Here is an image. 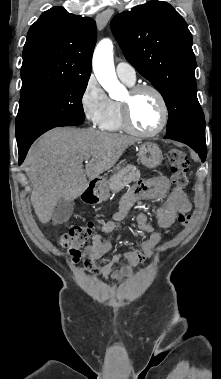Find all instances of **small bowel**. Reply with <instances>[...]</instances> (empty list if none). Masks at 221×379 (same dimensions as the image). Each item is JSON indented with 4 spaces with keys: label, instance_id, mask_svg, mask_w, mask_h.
<instances>
[{
    "label": "small bowel",
    "instance_id": "c3829d8e",
    "mask_svg": "<svg viewBox=\"0 0 221 379\" xmlns=\"http://www.w3.org/2000/svg\"><path fill=\"white\" fill-rule=\"evenodd\" d=\"M164 205L157 211V227L166 229L176 220L178 214L188 213L191 210V201L187 193L176 187L166 176L142 179L122 197L119 210L104 222L99 232L92 238V245L86 256V269L99 275L103 279L122 281L132 276V268L143 264L153 256L154 250L161 240L160 232L149 221L145 213H139L136 218L137 227L147 237L142 241L139 249H130L115 253L110 260L102 265L96 261L111 251L112 244L103 238V235L122 228L129 211L140 200H163ZM122 263L118 270H113L116 264Z\"/></svg>",
    "mask_w": 221,
    "mask_h": 379
}]
</instances>
